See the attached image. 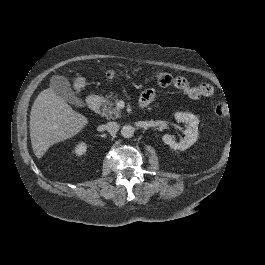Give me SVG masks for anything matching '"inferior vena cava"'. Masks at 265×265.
<instances>
[{
    "instance_id": "obj_1",
    "label": "inferior vena cava",
    "mask_w": 265,
    "mask_h": 265,
    "mask_svg": "<svg viewBox=\"0 0 265 265\" xmlns=\"http://www.w3.org/2000/svg\"><path fill=\"white\" fill-rule=\"evenodd\" d=\"M106 130L111 134L115 135L119 130V125L116 122H108L106 124Z\"/></svg>"
}]
</instances>
